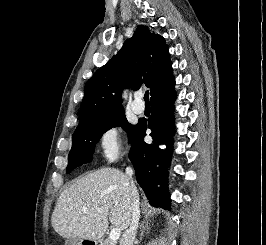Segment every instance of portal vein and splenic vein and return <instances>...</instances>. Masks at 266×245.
<instances>
[{"label": "portal vein and splenic vein", "mask_w": 266, "mask_h": 245, "mask_svg": "<svg viewBox=\"0 0 266 245\" xmlns=\"http://www.w3.org/2000/svg\"><path fill=\"white\" fill-rule=\"evenodd\" d=\"M98 211H102V209H98ZM83 213H87V209H83ZM121 235V229H112L110 235H109V239L110 241H117V239H119Z\"/></svg>", "instance_id": "18ae733b"}]
</instances>
